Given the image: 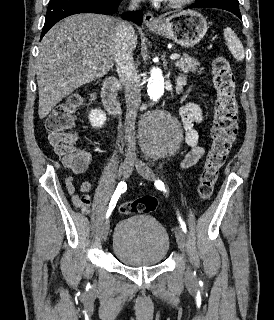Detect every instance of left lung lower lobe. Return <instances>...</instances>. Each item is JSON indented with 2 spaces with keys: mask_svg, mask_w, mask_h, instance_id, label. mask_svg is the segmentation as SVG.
I'll list each match as a JSON object with an SVG mask.
<instances>
[{
  "mask_svg": "<svg viewBox=\"0 0 274 320\" xmlns=\"http://www.w3.org/2000/svg\"><path fill=\"white\" fill-rule=\"evenodd\" d=\"M188 8H220V9H224V10L230 11L231 13L235 14L237 17H239L241 19L240 10L232 9V8H226V7L215 5V4L196 2L195 4L191 5Z\"/></svg>",
  "mask_w": 274,
  "mask_h": 320,
  "instance_id": "obj_1",
  "label": "left lung lower lobe"
}]
</instances>
